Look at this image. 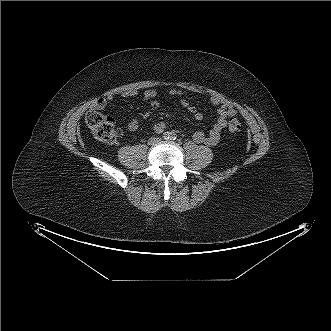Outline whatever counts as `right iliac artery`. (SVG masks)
<instances>
[{"mask_svg":"<svg viewBox=\"0 0 331 331\" xmlns=\"http://www.w3.org/2000/svg\"><path fill=\"white\" fill-rule=\"evenodd\" d=\"M169 137H170L169 133H164L163 134V139L167 140V139H169Z\"/></svg>","mask_w":331,"mask_h":331,"instance_id":"1","label":"right iliac artery"}]
</instances>
